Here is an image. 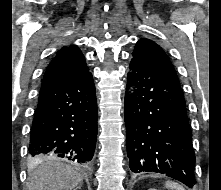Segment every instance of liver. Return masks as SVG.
<instances>
[{"label":"liver","mask_w":221,"mask_h":190,"mask_svg":"<svg viewBox=\"0 0 221 190\" xmlns=\"http://www.w3.org/2000/svg\"><path fill=\"white\" fill-rule=\"evenodd\" d=\"M38 163L30 174L28 190H73L83 182V176L69 165L52 161Z\"/></svg>","instance_id":"obj_1"}]
</instances>
